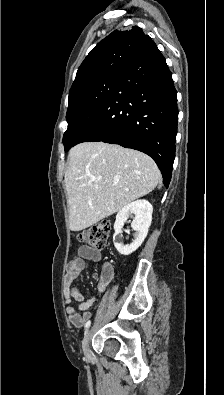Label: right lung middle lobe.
<instances>
[{"instance_id": "obj_1", "label": "right lung middle lobe", "mask_w": 224, "mask_h": 395, "mask_svg": "<svg viewBox=\"0 0 224 395\" xmlns=\"http://www.w3.org/2000/svg\"><path fill=\"white\" fill-rule=\"evenodd\" d=\"M121 74L108 75L69 94L66 119L68 129L63 144L68 151L83 134L90 121L101 110L116 88Z\"/></svg>"}]
</instances>
